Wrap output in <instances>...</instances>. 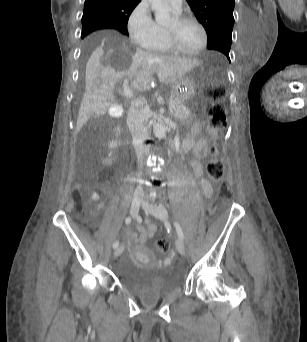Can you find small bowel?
<instances>
[{
	"label": "small bowel",
	"mask_w": 307,
	"mask_h": 342,
	"mask_svg": "<svg viewBox=\"0 0 307 342\" xmlns=\"http://www.w3.org/2000/svg\"><path fill=\"white\" fill-rule=\"evenodd\" d=\"M217 134L218 133L216 130L207 128L206 136L203 132V125L200 123H195L182 145L183 151H193V159L191 160L190 165L195 176L200 180L203 191L207 197H210L211 195V188L209 182L203 177L201 159L207 155L208 148L216 140ZM98 198L99 196L95 194L92 198V201H96ZM102 205L103 204H99V207ZM155 231L156 226L147 221L146 227H139V234L132 232L128 235L136 246L142 248L146 241L153 237Z\"/></svg>",
	"instance_id": "c3829d8e"
}]
</instances>
